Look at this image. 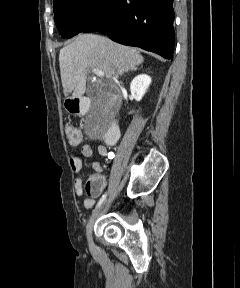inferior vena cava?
<instances>
[{
  "mask_svg": "<svg viewBox=\"0 0 240 288\" xmlns=\"http://www.w3.org/2000/svg\"><path fill=\"white\" fill-rule=\"evenodd\" d=\"M117 77H118V75L113 72V80H114L115 82H117Z\"/></svg>",
  "mask_w": 240,
  "mask_h": 288,
  "instance_id": "1",
  "label": "inferior vena cava"
}]
</instances>
